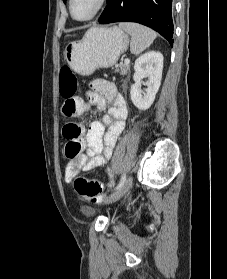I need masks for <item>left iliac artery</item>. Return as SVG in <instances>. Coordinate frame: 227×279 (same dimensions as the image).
<instances>
[{
  "label": "left iliac artery",
  "instance_id": "obj_1",
  "mask_svg": "<svg viewBox=\"0 0 227 279\" xmlns=\"http://www.w3.org/2000/svg\"><path fill=\"white\" fill-rule=\"evenodd\" d=\"M125 181H126V175L123 174L122 177H121V179H120L119 184H118L117 187H116V190H118V189L125 183Z\"/></svg>",
  "mask_w": 227,
  "mask_h": 279
}]
</instances>
